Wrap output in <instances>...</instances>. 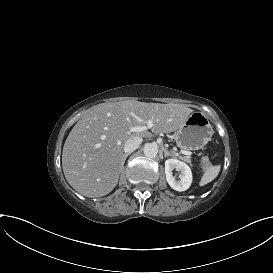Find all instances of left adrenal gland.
<instances>
[{
  "label": "left adrenal gland",
  "mask_w": 273,
  "mask_h": 273,
  "mask_svg": "<svg viewBox=\"0 0 273 273\" xmlns=\"http://www.w3.org/2000/svg\"><path fill=\"white\" fill-rule=\"evenodd\" d=\"M162 150L164 151V157H173V158H176V156L173 153L169 152L167 148L163 147Z\"/></svg>",
  "instance_id": "obj_1"
}]
</instances>
